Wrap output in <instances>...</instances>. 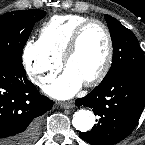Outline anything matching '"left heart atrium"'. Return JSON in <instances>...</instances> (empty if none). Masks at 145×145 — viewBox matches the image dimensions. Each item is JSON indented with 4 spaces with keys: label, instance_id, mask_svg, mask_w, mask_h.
<instances>
[{
    "label": "left heart atrium",
    "instance_id": "1",
    "mask_svg": "<svg viewBox=\"0 0 145 145\" xmlns=\"http://www.w3.org/2000/svg\"><path fill=\"white\" fill-rule=\"evenodd\" d=\"M82 83L79 76L66 68L63 74L46 88V91L55 98L65 99L73 96Z\"/></svg>",
    "mask_w": 145,
    "mask_h": 145
}]
</instances>
